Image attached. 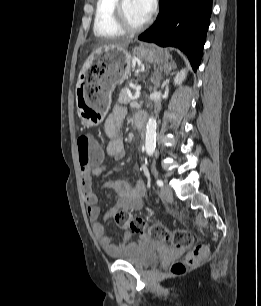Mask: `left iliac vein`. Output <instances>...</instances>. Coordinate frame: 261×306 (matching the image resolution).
<instances>
[{
  "label": "left iliac vein",
  "instance_id": "1",
  "mask_svg": "<svg viewBox=\"0 0 261 306\" xmlns=\"http://www.w3.org/2000/svg\"><path fill=\"white\" fill-rule=\"evenodd\" d=\"M160 195L164 200H170L172 198V188L167 182H165L164 186L161 188Z\"/></svg>",
  "mask_w": 261,
  "mask_h": 306
}]
</instances>
